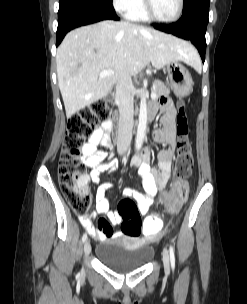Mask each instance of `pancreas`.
Here are the masks:
<instances>
[{"mask_svg": "<svg viewBox=\"0 0 247 304\" xmlns=\"http://www.w3.org/2000/svg\"><path fill=\"white\" fill-rule=\"evenodd\" d=\"M152 91L156 94V97L168 96L170 93L169 88L162 81H154Z\"/></svg>", "mask_w": 247, "mask_h": 304, "instance_id": "obj_1", "label": "pancreas"}]
</instances>
